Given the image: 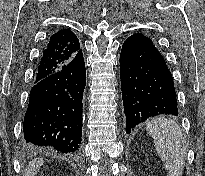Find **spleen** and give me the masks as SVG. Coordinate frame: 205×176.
<instances>
[{
	"mask_svg": "<svg viewBox=\"0 0 205 176\" xmlns=\"http://www.w3.org/2000/svg\"><path fill=\"white\" fill-rule=\"evenodd\" d=\"M154 139L156 151L169 176H182L187 155V145L179 125L170 119L158 117L146 128Z\"/></svg>",
	"mask_w": 205,
	"mask_h": 176,
	"instance_id": "obj_1",
	"label": "spleen"
}]
</instances>
